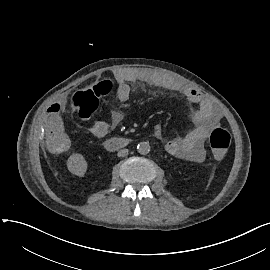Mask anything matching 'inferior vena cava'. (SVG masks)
<instances>
[{
	"instance_id": "1",
	"label": "inferior vena cava",
	"mask_w": 270,
	"mask_h": 270,
	"mask_svg": "<svg viewBox=\"0 0 270 270\" xmlns=\"http://www.w3.org/2000/svg\"><path fill=\"white\" fill-rule=\"evenodd\" d=\"M128 154V149H122L117 153L118 157H124Z\"/></svg>"
}]
</instances>
